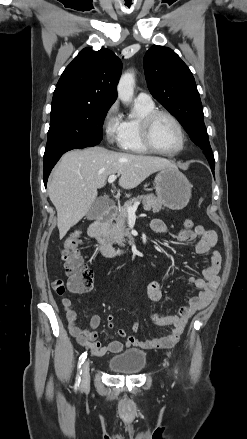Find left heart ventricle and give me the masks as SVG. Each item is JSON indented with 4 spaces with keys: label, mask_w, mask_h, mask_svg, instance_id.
Returning <instances> with one entry per match:
<instances>
[{
    "label": "left heart ventricle",
    "mask_w": 247,
    "mask_h": 439,
    "mask_svg": "<svg viewBox=\"0 0 247 439\" xmlns=\"http://www.w3.org/2000/svg\"><path fill=\"white\" fill-rule=\"evenodd\" d=\"M151 138L154 146L162 151H173L180 145V134L173 123L166 116H159L153 123Z\"/></svg>",
    "instance_id": "b2bd125f"
}]
</instances>
